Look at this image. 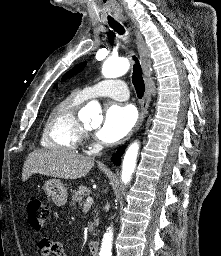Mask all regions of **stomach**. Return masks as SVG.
I'll return each mask as SVG.
<instances>
[{"label":"stomach","mask_w":221,"mask_h":256,"mask_svg":"<svg viewBox=\"0 0 221 256\" xmlns=\"http://www.w3.org/2000/svg\"><path fill=\"white\" fill-rule=\"evenodd\" d=\"M43 189L55 205L62 206L66 203L68 194L67 189L60 180H47L43 185Z\"/></svg>","instance_id":"1"}]
</instances>
